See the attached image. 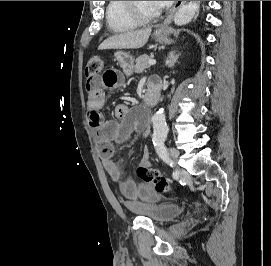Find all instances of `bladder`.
Masks as SVG:
<instances>
[{"instance_id":"obj_1","label":"bladder","mask_w":271,"mask_h":266,"mask_svg":"<svg viewBox=\"0 0 271 266\" xmlns=\"http://www.w3.org/2000/svg\"><path fill=\"white\" fill-rule=\"evenodd\" d=\"M181 210V205L176 203L137 209V211L140 213V216L150 219L157 224H161L175 218L180 214Z\"/></svg>"}]
</instances>
